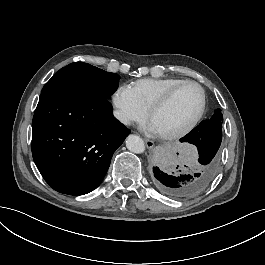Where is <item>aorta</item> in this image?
I'll use <instances>...</instances> for the list:
<instances>
[{
  "label": "aorta",
  "instance_id": "762f6f07",
  "mask_svg": "<svg viewBox=\"0 0 265 265\" xmlns=\"http://www.w3.org/2000/svg\"><path fill=\"white\" fill-rule=\"evenodd\" d=\"M126 147L133 153H143L145 150L144 141L137 135H129L126 138Z\"/></svg>",
  "mask_w": 265,
  "mask_h": 265
}]
</instances>
